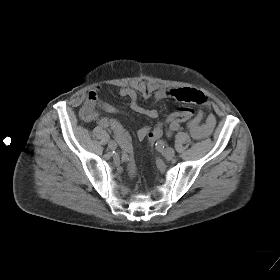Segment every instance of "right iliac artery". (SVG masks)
Here are the masks:
<instances>
[{"mask_svg": "<svg viewBox=\"0 0 280 280\" xmlns=\"http://www.w3.org/2000/svg\"><path fill=\"white\" fill-rule=\"evenodd\" d=\"M99 125L102 128L108 129L110 126V122L104 118L99 121ZM110 129L113 130L112 127ZM113 137L125 152H127V153L133 152V147H132L131 143L129 142L128 138H126L125 136H123L122 134H120L119 132L114 131V130H113Z\"/></svg>", "mask_w": 280, "mask_h": 280, "instance_id": "right-iliac-artery-1", "label": "right iliac artery"}]
</instances>
